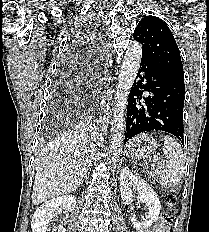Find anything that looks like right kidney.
I'll list each match as a JSON object with an SVG mask.
<instances>
[{
    "label": "right kidney",
    "instance_id": "right-kidney-1",
    "mask_svg": "<svg viewBox=\"0 0 209 232\" xmlns=\"http://www.w3.org/2000/svg\"><path fill=\"white\" fill-rule=\"evenodd\" d=\"M75 206L76 198L72 195H63L48 200L35 211L31 222L32 232H47V223L53 216H55L60 210H64L66 213L72 212ZM54 231L66 232V229L59 226Z\"/></svg>",
    "mask_w": 209,
    "mask_h": 232
}]
</instances>
